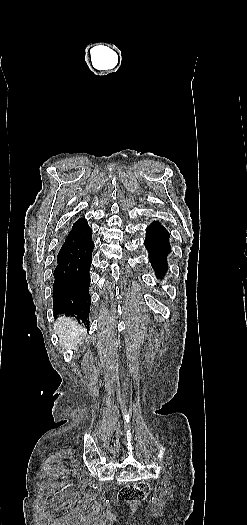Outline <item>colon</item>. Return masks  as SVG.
<instances>
[{
  "label": "colon",
  "mask_w": 247,
  "mask_h": 525,
  "mask_svg": "<svg viewBox=\"0 0 247 525\" xmlns=\"http://www.w3.org/2000/svg\"><path fill=\"white\" fill-rule=\"evenodd\" d=\"M151 491L148 482H139L136 486L122 487L117 495L118 500L122 502L142 501Z\"/></svg>",
  "instance_id": "colon-1"
}]
</instances>
